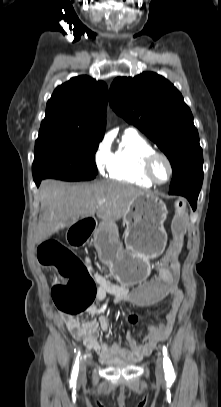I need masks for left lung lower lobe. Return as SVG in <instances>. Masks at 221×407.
<instances>
[{
	"label": "left lung lower lobe",
	"instance_id": "left-lung-lower-lobe-1",
	"mask_svg": "<svg viewBox=\"0 0 221 407\" xmlns=\"http://www.w3.org/2000/svg\"><path fill=\"white\" fill-rule=\"evenodd\" d=\"M203 182V171L184 179L174 187L169 189L170 195H181L186 197L193 210L196 209L197 198Z\"/></svg>",
	"mask_w": 221,
	"mask_h": 407
}]
</instances>
